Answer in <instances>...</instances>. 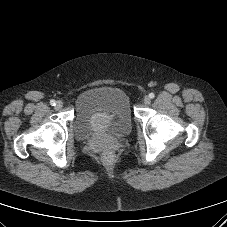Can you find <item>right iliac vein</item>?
Masks as SVG:
<instances>
[{"mask_svg":"<svg viewBox=\"0 0 227 227\" xmlns=\"http://www.w3.org/2000/svg\"><path fill=\"white\" fill-rule=\"evenodd\" d=\"M62 107H63V102L62 101H57L56 102V105H55V108L57 110H60Z\"/></svg>","mask_w":227,"mask_h":227,"instance_id":"63e3f726","label":"right iliac vein"}]
</instances>
